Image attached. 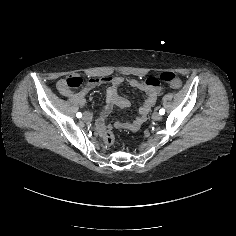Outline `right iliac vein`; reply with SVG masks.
<instances>
[{"mask_svg":"<svg viewBox=\"0 0 236 236\" xmlns=\"http://www.w3.org/2000/svg\"><path fill=\"white\" fill-rule=\"evenodd\" d=\"M89 118H90V115L88 113L84 114L82 117L84 121L88 120Z\"/></svg>","mask_w":236,"mask_h":236,"instance_id":"right-iliac-vein-1","label":"right iliac vein"}]
</instances>
